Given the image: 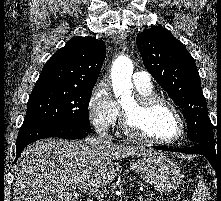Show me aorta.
Segmentation results:
<instances>
[{"label":"aorta","mask_w":221,"mask_h":201,"mask_svg":"<svg viewBox=\"0 0 221 201\" xmlns=\"http://www.w3.org/2000/svg\"><path fill=\"white\" fill-rule=\"evenodd\" d=\"M133 64L126 58H118L112 68V86L116 98H125L131 95L133 84L131 76Z\"/></svg>","instance_id":"obj_1"}]
</instances>
